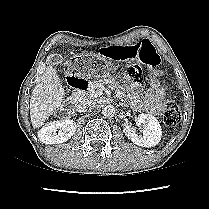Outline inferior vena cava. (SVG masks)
<instances>
[{
  "instance_id": "1",
  "label": "inferior vena cava",
  "mask_w": 209,
  "mask_h": 209,
  "mask_svg": "<svg viewBox=\"0 0 209 209\" xmlns=\"http://www.w3.org/2000/svg\"><path fill=\"white\" fill-rule=\"evenodd\" d=\"M96 101L92 98H83L79 103L80 111H90L96 106Z\"/></svg>"
}]
</instances>
